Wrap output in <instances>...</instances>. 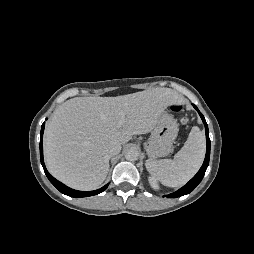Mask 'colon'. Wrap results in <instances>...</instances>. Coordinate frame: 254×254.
Listing matches in <instances>:
<instances>
[{"instance_id":"colon-1","label":"colon","mask_w":254,"mask_h":254,"mask_svg":"<svg viewBox=\"0 0 254 254\" xmlns=\"http://www.w3.org/2000/svg\"><path fill=\"white\" fill-rule=\"evenodd\" d=\"M171 109L174 111V112H181L182 111V106L180 104H173L171 106ZM184 122H186V119L183 120Z\"/></svg>"}]
</instances>
